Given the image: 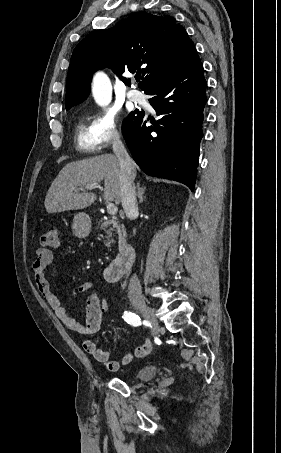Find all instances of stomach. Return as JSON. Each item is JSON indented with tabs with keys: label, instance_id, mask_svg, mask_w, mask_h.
<instances>
[{
	"label": "stomach",
	"instance_id": "1",
	"mask_svg": "<svg viewBox=\"0 0 281 453\" xmlns=\"http://www.w3.org/2000/svg\"><path fill=\"white\" fill-rule=\"evenodd\" d=\"M72 229L76 237H88L91 231V220L86 212H79L73 218Z\"/></svg>",
	"mask_w": 281,
	"mask_h": 453
}]
</instances>
